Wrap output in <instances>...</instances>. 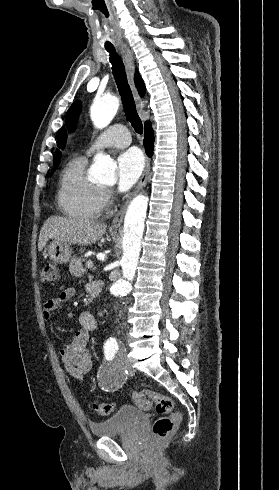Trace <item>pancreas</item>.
I'll use <instances>...</instances> for the list:
<instances>
[{
    "mask_svg": "<svg viewBox=\"0 0 279 490\" xmlns=\"http://www.w3.org/2000/svg\"><path fill=\"white\" fill-rule=\"evenodd\" d=\"M81 264V258H73V260L69 262V272L74 278H81L82 274H85L86 270H84Z\"/></svg>",
    "mask_w": 279,
    "mask_h": 490,
    "instance_id": "obj_1",
    "label": "pancreas"
}]
</instances>
